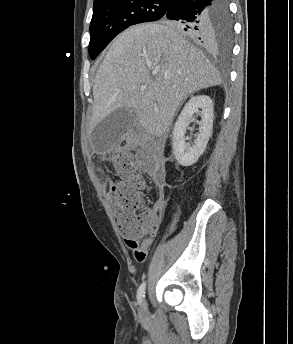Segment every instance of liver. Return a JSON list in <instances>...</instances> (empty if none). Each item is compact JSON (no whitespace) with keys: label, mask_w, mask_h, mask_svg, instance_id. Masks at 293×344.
<instances>
[{"label":"liver","mask_w":293,"mask_h":344,"mask_svg":"<svg viewBox=\"0 0 293 344\" xmlns=\"http://www.w3.org/2000/svg\"><path fill=\"white\" fill-rule=\"evenodd\" d=\"M221 81L213 64L174 27L133 26L115 38L97 71L91 127L128 108L149 134L161 137L189 94Z\"/></svg>","instance_id":"liver-1"}]
</instances>
